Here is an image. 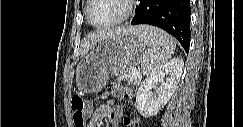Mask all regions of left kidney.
<instances>
[{"mask_svg": "<svg viewBox=\"0 0 243 127\" xmlns=\"http://www.w3.org/2000/svg\"><path fill=\"white\" fill-rule=\"evenodd\" d=\"M183 66L180 58H174L143 81L136 95V108L142 116H155L166 105L181 78Z\"/></svg>", "mask_w": 243, "mask_h": 127, "instance_id": "5707ae66", "label": "left kidney"}]
</instances>
